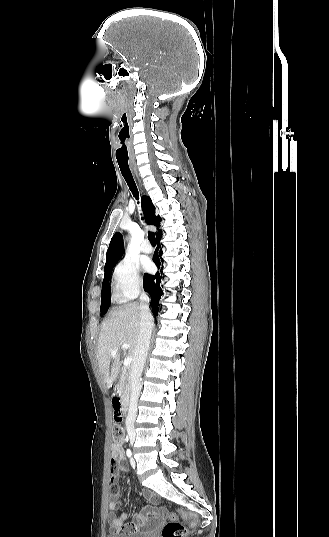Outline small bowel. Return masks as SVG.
<instances>
[{
  "label": "small bowel",
  "instance_id": "small-bowel-1",
  "mask_svg": "<svg viewBox=\"0 0 329 537\" xmlns=\"http://www.w3.org/2000/svg\"><path fill=\"white\" fill-rule=\"evenodd\" d=\"M112 420L114 423L119 424L122 422L123 417L121 413V408L118 407V404H113V413ZM125 459L123 442L113 443L111 445V460H110V476L112 482L111 493L109 497V510L110 514L108 520L110 527L114 531H123L126 533H138L151 531L158 527L160 522L166 518L167 511L163 507L149 506L145 510L140 511L134 515V519L131 522L125 523L128 519L126 513L117 516L115 511L119 508L120 503L119 491L117 489V483L119 479V471L123 467V461ZM143 496L152 502L154 505L158 503V497L149 492L145 491Z\"/></svg>",
  "mask_w": 329,
  "mask_h": 537
}]
</instances>
